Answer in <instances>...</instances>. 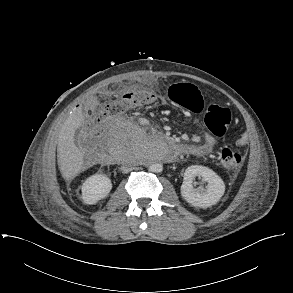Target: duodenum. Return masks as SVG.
I'll return each mask as SVG.
<instances>
[{
    "label": "duodenum",
    "mask_w": 293,
    "mask_h": 293,
    "mask_svg": "<svg viewBox=\"0 0 293 293\" xmlns=\"http://www.w3.org/2000/svg\"><path fill=\"white\" fill-rule=\"evenodd\" d=\"M162 138L164 139V140H167L168 142H170L171 144H172V146H173V149L176 151V152H185L186 151V149H187V147H188V145L187 144H184V143H181V142H179V141H177V140H175L173 137H171V136H162ZM116 157H117V154L116 153H113L112 154V156H111V159H116ZM170 161H173V160H175V157L173 158H170L169 159Z\"/></svg>",
    "instance_id": "410a0bca"
}]
</instances>
